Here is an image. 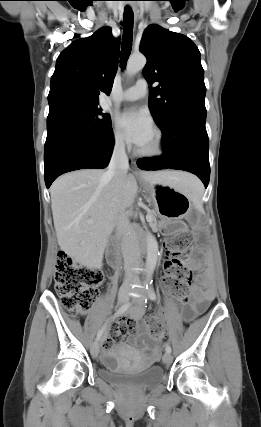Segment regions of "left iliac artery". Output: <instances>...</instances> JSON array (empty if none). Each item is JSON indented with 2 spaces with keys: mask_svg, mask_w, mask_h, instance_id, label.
<instances>
[{
  "mask_svg": "<svg viewBox=\"0 0 261 427\" xmlns=\"http://www.w3.org/2000/svg\"><path fill=\"white\" fill-rule=\"evenodd\" d=\"M147 289H148L149 298L152 301H155L156 300V294H155L154 290L150 287L148 288V286H147ZM145 303H146V300H145ZM165 350H166V352L171 353V347L169 344H166Z\"/></svg>",
  "mask_w": 261,
  "mask_h": 427,
  "instance_id": "1",
  "label": "left iliac artery"
}]
</instances>
